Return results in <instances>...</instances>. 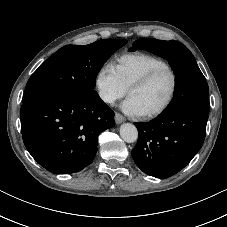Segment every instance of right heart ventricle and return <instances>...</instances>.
Segmentation results:
<instances>
[{"mask_svg":"<svg viewBox=\"0 0 227 227\" xmlns=\"http://www.w3.org/2000/svg\"><path fill=\"white\" fill-rule=\"evenodd\" d=\"M166 65L168 64L164 60L156 56L134 52L118 56L113 63V68L122 84L128 89L134 81L150 70Z\"/></svg>","mask_w":227,"mask_h":227,"instance_id":"right-heart-ventricle-1","label":"right heart ventricle"}]
</instances>
